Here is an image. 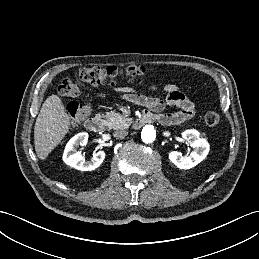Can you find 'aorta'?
I'll return each mask as SVG.
<instances>
[{
  "label": "aorta",
  "instance_id": "1",
  "mask_svg": "<svg viewBox=\"0 0 259 259\" xmlns=\"http://www.w3.org/2000/svg\"><path fill=\"white\" fill-rule=\"evenodd\" d=\"M156 138V130L152 125H146L141 132V139L144 143H151Z\"/></svg>",
  "mask_w": 259,
  "mask_h": 259
}]
</instances>
